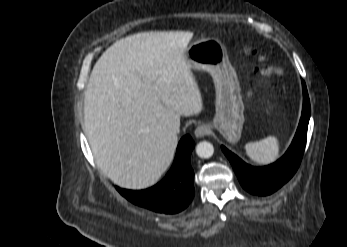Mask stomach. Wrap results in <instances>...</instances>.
Segmentation results:
<instances>
[{
  "label": "stomach",
  "instance_id": "stomach-1",
  "mask_svg": "<svg viewBox=\"0 0 347 247\" xmlns=\"http://www.w3.org/2000/svg\"><path fill=\"white\" fill-rule=\"evenodd\" d=\"M184 57L189 68L207 71L213 78L216 113L212 125L228 142L236 143L242 133L244 104L224 44L202 38L186 49Z\"/></svg>",
  "mask_w": 347,
  "mask_h": 247
}]
</instances>
